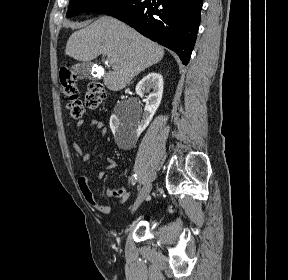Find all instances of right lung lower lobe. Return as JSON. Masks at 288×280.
<instances>
[{
  "label": "right lung lower lobe",
  "instance_id": "right-lung-lower-lobe-1",
  "mask_svg": "<svg viewBox=\"0 0 288 280\" xmlns=\"http://www.w3.org/2000/svg\"><path fill=\"white\" fill-rule=\"evenodd\" d=\"M203 0H124L103 13L173 50L187 65L200 23Z\"/></svg>",
  "mask_w": 288,
  "mask_h": 280
}]
</instances>
